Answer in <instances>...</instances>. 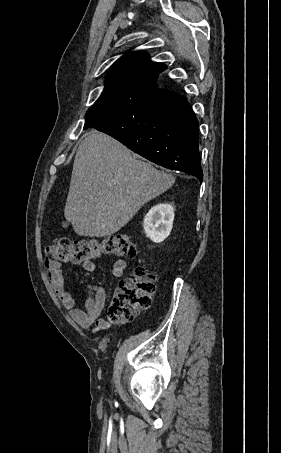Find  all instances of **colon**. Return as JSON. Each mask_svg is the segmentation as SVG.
I'll use <instances>...</instances> for the list:
<instances>
[{
    "label": "colon",
    "instance_id": "obj_1",
    "mask_svg": "<svg viewBox=\"0 0 281 453\" xmlns=\"http://www.w3.org/2000/svg\"><path fill=\"white\" fill-rule=\"evenodd\" d=\"M139 251L126 238H76L64 236L55 238L48 253L52 262H93L102 257H137ZM157 275L146 267H138L133 276L124 279L120 285L118 299L111 311L115 315L144 311L151 302Z\"/></svg>",
    "mask_w": 281,
    "mask_h": 453
}]
</instances>
